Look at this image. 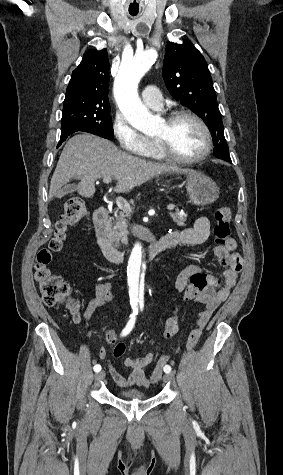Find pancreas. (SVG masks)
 Listing matches in <instances>:
<instances>
[{"mask_svg": "<svg viewBox=\"0 0 283 475\" xmlns=\"http://www.w3.org/2000/svg\"><path fill=\"white\" fill-rule=\"evenodd\" d=\"M130 212H122L120 216H116L115 222H113L114 226L111 228L107 238L109 241H115L114 247H119V243H128L127 234H129L127 228V220L126 216H129ZM171 218L173 222H176L177 226H186V218L187 214H183L180 216L179 210H176L175 214H171Z\"/></svg>", "mask_w": 283, "mask_h": 475, "instance_id": "pancreas-1", "label": "pancreas"}]
</instances>
